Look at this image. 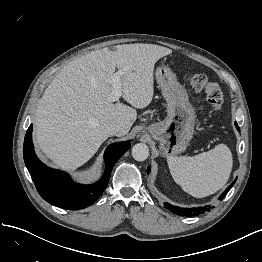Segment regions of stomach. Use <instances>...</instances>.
Wrapping results in <instances>:
<instances>
[{
  "label": "stomach",
  "mask_w": 262,
  "mask_h": 262,
  "mask_svg": "<svg viewBox=\"0 0 262 262\" xmlns=\"http://www.w3.org/2000/svg\"><path fill=\"white\" fill-rule=\"evenodd\" d=\"M155 77L167 102V116L163 121L151 124L148 133L159 141L160 150L168 157L185 151L194 133L196 115L186 89L170 68L158 67Z\"/></svg>",
  "instance_id": "1"
}]
</instances>
